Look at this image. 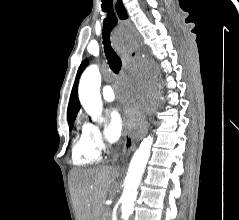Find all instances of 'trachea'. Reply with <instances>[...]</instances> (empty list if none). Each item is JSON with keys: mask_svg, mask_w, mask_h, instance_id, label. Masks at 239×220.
Segmentation results:
<instances>
[{"mask_svg": "<svg viewBox=\"0 0 239 220\" xmlns=\"http://www.w3.org/2000/svg\"><path fill=\"white\" fill-rule=\"evenodd\" d=\"M102 1V10L107 13V17L103 22V44L105 49L106 58L108 60V64L110 69L115 73L119 74L122 66V62L120 57L116 54V52L111 47L110 43V33L113 28L117 24V17L114 13L113 9V1L112 0H101Z\"/></svg>", "mask_w": 239, "mask_h": 220, "instance_id": "3493384b", "label": "trachea"}]
</instances>
